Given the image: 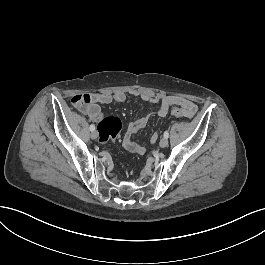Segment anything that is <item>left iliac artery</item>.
I'll list each match as a JSON object with an SVG mask.
<instances>
[{
    "mask_svg": "<svg viewBox=\"0 0 265 265\" xmlns=\"http://www.w3.org/2000/svg\"><path fill=\"white\" fill-rule=\"evenodd\" d=\"M164 137L165 138H168L169 137V132L167 130L164 132Z\"/></svg>",
    "mask_w": 265,
    "mask_h": 265,
    "instance_id": "44dca946",
    "label": "left iliac artery"
}]
</instances>
